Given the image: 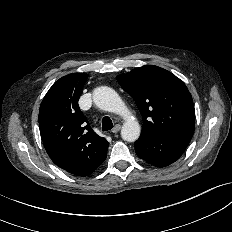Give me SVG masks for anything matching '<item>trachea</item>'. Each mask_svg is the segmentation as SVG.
Wrapping results in <instances>:
<instances>
[{
    "label": "trachea",
    "instance_id": "1",
    "mask_svg": "<svg viewBox=\"0 0 232 232\" xmlns=\"http://www.w3.org/2000/svg\"><path fill=\"white\" fill-rule=\"evenodd\" d=\"M112 128H113L112 120L108 116H105L102 119V131H108V130H110Z\"/></svg>",
    "mask_w": 232,
    "mask_h": 232
}]
</instances>
